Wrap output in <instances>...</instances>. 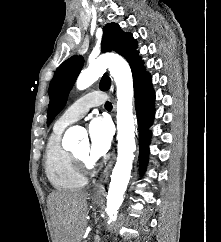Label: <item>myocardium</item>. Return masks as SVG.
<instances>
[{"label":"myocardium","instance_id":"f54148a6","mask_svg":"<svg viewBox=\"0 0 221 242\" xmlns=\"http://www.w3.org/2000/svg\"><path fill=\"white\" fill-rule=\"evenodd\" d=\"M73 157L78 165V167L85 172L88 169L93 168V163L89 158H82L78 156L76 153L73 154Z\"/></svg>","mask_w":221,"mask_h":242}]
</instances>
